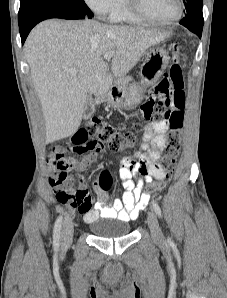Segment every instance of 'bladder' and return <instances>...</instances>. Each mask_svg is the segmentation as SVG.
<instances>
[{
    "label": "bladder",
    "mask_w": 227,
    "mask_h": 298,
    "mask_svg": "<svg viewBox=\"0 0 227 298\" xmlns=\"http://www.w3.org/2000/svg\"><path fill=\"white\" fill-rule=\"evenodd\" d=\"M92 233L100 238L114 239L127 236L131 232V225L122 220L98 219L89 224Z\"/></svg>",
    "instance_id": "obj_1"
}]
</instances>
